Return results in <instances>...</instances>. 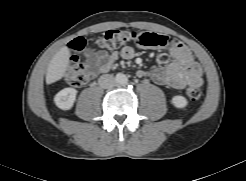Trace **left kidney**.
Returning a JSON list of instances; mask_svg holds the SVG:
<instances>
[{
    "mask_svg": "<svg viewBox=\"0 0 246 181\" xmlns=\"http://www.w3.org/2000/svg\"><path fill=\"white\" fill-rule=\"evenodd\" d=\"M172 104L179 109L185 108L188 105V101L181 95H176L172 98Z\"/></svg>",
    "mask_w": 246,
    "mask_h": 181,
    "instance_id": "left-kidney-1",
    "label": "left kidney"
}]
</instances>
